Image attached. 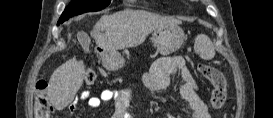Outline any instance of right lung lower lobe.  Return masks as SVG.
I'll return each instance as SVG.
<instances>
[{"instance_id":"right-lung-lower-lobe-1","label":"right lung lower lobe","mask_w":273,"mask_h":118,"mask_svg":"<svg viewBox=\"0 0 273 118\" xmlns=\"http://www.w3.org/2000/svg\"><path fill=\"white\" fill-rule=\"evenodd\" d=\"M64 21H66V20L60 18L59 21H58V25L63 23Z\"/></svg>"}]
</instances>
